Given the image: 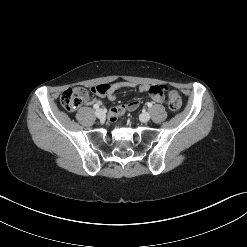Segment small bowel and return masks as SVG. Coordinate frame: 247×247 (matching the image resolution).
Here are the masks:
<instances>
[{"label":"small bowel","mask_w":247,"mask_h":247,"mask_svg":"<svg viewBox=\"0 0 247 247\" xmlns=\"http://www.w3.org/2000/svg\"><path fill=\"white\" fill-rule=\"evenodd\" d=\"M155 85H149V84H136L134 82H118L111 84L109 87V90L106 94L108 99L111 101H115L118 99V94L116 91L120 88H127V87H137L140 92L148 93L149 94V89ZM85 100L88 101V96L86 95Z\"/></svg>","instance_id":"1"}]
</instances>
